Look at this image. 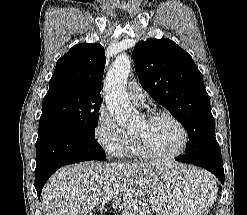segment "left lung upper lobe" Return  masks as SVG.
I'll return each instance as SVG.
<instances>
[{"mask_svg": "<svg viewBox=\"0 0 247 215\" xmlns=\"http://www.w3.org/2000/svg\"><path fill=\"white\" fill-rule=\"evenodd\" d=\"M132 58L144 89L187 130L185 154H193L199 141L216 140L210 97L186 51L169 39L151 38L137 43Z\"/></svg>", "mask_w": 247, "mask_h": 215, "instance_id": "obj_1", "label": "left lung upper lobe"}]
</instances>
